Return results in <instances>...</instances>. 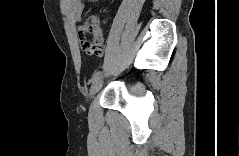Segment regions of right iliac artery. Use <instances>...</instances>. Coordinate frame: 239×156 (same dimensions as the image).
Listing matches in <instances>:
<instances>
[{"label": "right iliac artery", "instance_id": "82829eb1", "mask_svg": "<svg viewBox=\"0 0 239 156\" xmlns=\"http://www.w3.org/2000/svg\"><path fill=\"white\" fill-rule=\"evenodd\" d=\"M100 76H101V71L96 72V73L92 76L90 82H91V83H94L96 80L99 79Z\"/></svg>", "mask_w": 239, "mask_h": 156}]
</instances>
